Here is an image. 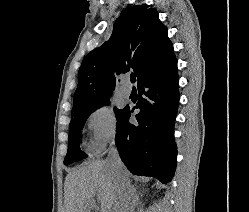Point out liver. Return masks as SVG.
I'll return each instance as SVG.
<instances>
[{"mask_svg": "<svg viewBox=\"0 0 249 212\" xmlns=\"http://www.w3.org/2000/svg\"><path fill=\"white\" fill-rule=\"evenodd\" d=\"M94 198L101 212H117L115 168L107 160L85 162L82 168L71 170L66 176V212H91L96 208Z\"/></svg>", "mask_w": 249, "mask_h": 212, "instance_id": "obj_1", "label": "liver"}]
</instances>
